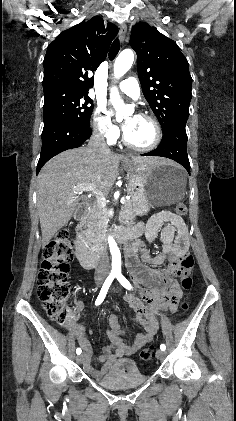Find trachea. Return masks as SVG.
Masks as SVG:
<instances>
[{"label":"trachea","mask_w":236,"mask_h":421,"mask_svg":"<svg viewBox=\"0 0 236 421\" xmlns=\"http://www.w3.org/2000/svg\"><path fill=\"white\" fill-rule=\"evenodd\" d=\"M119 49H120V42H119V39L118 38H116L114 41H113V43H112V45H111V47H110V50H109V60L110 61H113L114 60V58L117 56V54L119 53Z\"/></svg>","instance_id":"1"}]
</instances>
